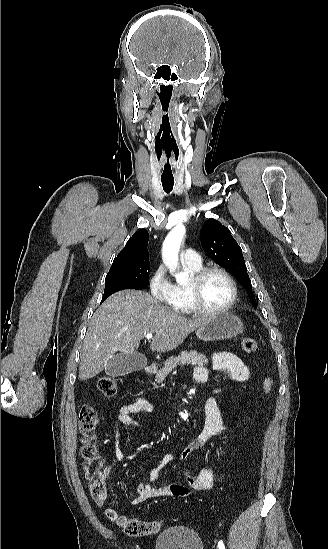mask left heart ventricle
Returning a JSON list of instances; mask_svg holds the SVG:
<instances>
[{
  "instance_id": "b2bd125f",
  "label": "left heart ventricle",
  "mask_w": 328,
  "mask_h": 549,
  "mask_svg": "<svg viewBox=\"0 0 328 549\" xmlns=\"http://www.w3.org/2000/svg\"><path fill=\"white\" fill-rule=\"evenodd\" d=\"M232 295V287L227 277L212 271L206 275L199 286V296L204 304L201 307L218 309L228 303Z\"/></svg>"
}]
</instances>
